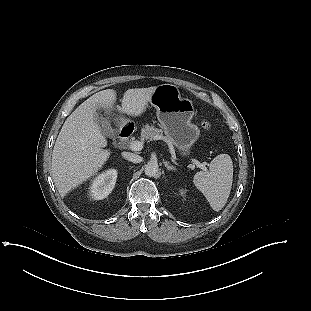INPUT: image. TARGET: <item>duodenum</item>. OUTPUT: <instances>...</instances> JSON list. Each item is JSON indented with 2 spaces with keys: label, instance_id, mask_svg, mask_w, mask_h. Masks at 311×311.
I'll list each match as a JSON object with an SVG mask.
<instances>
[{
  "label": "duodenum",
  "instance_id": "obj_1",
  "mask_svg": "<svg viewBox=\"0 0 311 311\" xmlns=\"http://www.w3.org/2000/svg\"><path fill=\"white\" fill-rule=\"evenodd\" d=\"M132 130L128 126H123L119 129L118 137H117V145H123L128 138L130 137Z\"/></svg>",
  "mask_w": 311,
  "mask_h": 311
}]
</instances>
